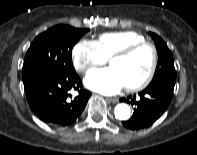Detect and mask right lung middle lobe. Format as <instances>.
<instances>
[{
	"label": "right lung middle lobe",
	"mask_w": 197,
	"mask_h": 155,
	"mask_svg": "<svg viewBox=\"0 0 197 155\" xmlns=\"http://www.w3.org/2000/svg\"><path fill=\"white\" fill-rule=\"evenodd\" d=\"M88 31L57 25L38 35L26 53L22 68L25 91L47 78L74 72L72 48Z\"/></svg>",
	"instance_id": "right-lung-middle-lobe-1"
}]
</instances>
